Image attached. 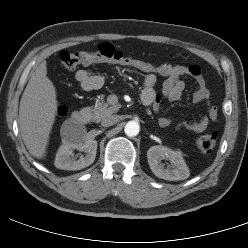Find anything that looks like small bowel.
Instances as JSON below:
<instances>
[{
    "mask_svg": "<svg viewBox=\"0 0 248 248\" xmlns=\"http://www.w3.org/2000/svg\"><path fill=\"white\" fill-rule=\"evenodd\" d=\"M191 76L197 84V89L192 95L194 103L207 102V113L198 120H187L178 124L179 128H184L193 133H199L204 131L210 122L215 121L218 117V109L211 105L210 93L207 89L205 79L202 74V70L198 65H182V64H170L163 63L158 65L156 72L145 73L144 87L141 93L142 101L151 105L155 111H158L162 97L168 101H178L181 99L185 84L181 80L182 76ZM165 77V81L162 85V94L155 90L157 77ZM76 81L79 86L85 91H91L99 89L104 84L103 76L95 74L86 69H80L75 75ZM160 127H168L173 123V120L168 117H161L158 120Z\"/></svg>",
    "mask_w": 248,
    "mask_h": 248,
    "instance_id": "obj_1",
    "label": "small bowel"
}]
</instances>
